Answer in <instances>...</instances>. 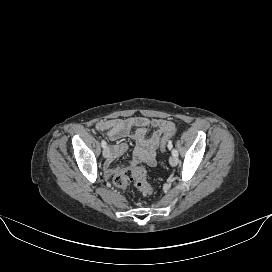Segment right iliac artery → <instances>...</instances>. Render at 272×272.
Wrapping results in <instances>:
<instances>
[{
  "mask_svg": "<svg viewBox=\"0 0 272 272\" xmlns=\"http://www.w3.org/2000/svg\"><path fill=\"white\" fill-rule=\"evenodd\" d=\"M106 145H107V144H106V141H105V140H102V141H101V146H102L103 148H105Z\"/></svg>",
  "mask_w": 272,
  "mask_h": 272,
  "instance_id": "1",
  "label": "right iliac artery"
}]
</instances>
